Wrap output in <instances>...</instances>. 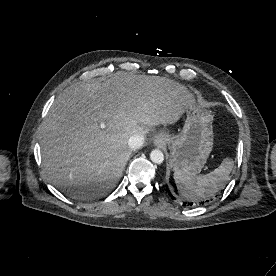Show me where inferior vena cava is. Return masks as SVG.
Returning a JSON list of instances; mask_svg holds the SVG:
<instances>
[{
    "label": "inferior vena cava",
    "instance_id": "602c4592",
    "mask_svg": "<svg viewBox=\"0 0 276 276\" xmlns=\"http://www.w3.org/2000/svg\"><path fill=\"white\" fill-rule=\"evenodd\" d=\"M144 144V136L134 134L128 139V145L131 149H140Z\"/></svg>",
    "mask_w": 276,
    "mask_h": 276
}]
</instances>
